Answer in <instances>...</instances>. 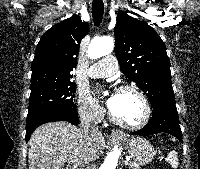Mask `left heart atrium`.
<instances>
[{"label":"left heart atrium","instance_id":"39dd6f15","mask_svg":"<svg viewBox=\"0 0 200 169\" xmlns=\"http://www.w3.org/2000/svg\"><path fill=\"white\" fill-rule=\"evenodd\" d=\"M114 94H115V93H112V94L110 95V97H109V106H110V103H111V100H112Z\"/></svg>","mask_w":200,"mask_h":169}]
</instances>
